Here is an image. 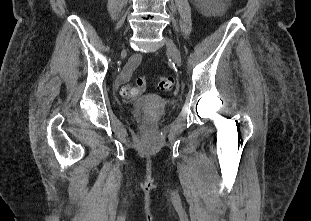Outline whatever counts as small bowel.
<instances>
[{"instance_id":"small-bowel-1","label":"small bowel","mask_w":311,"mask_h":221,"mask_svg":"<svg viewBox=\"0 0 311 221\" xmlns=\"http://www.w3.org/2000/svg\"><path fill=\"white\" fill-rule=\"evenodd\" d=\"M140 56H137L136 58H135V62H137V61H140Z\"/></svg>"}]
</instances>
